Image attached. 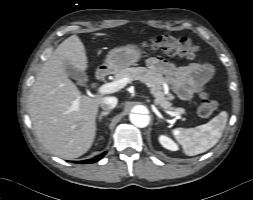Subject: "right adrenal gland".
Segmentation results:
<instances>
[{"instance_id":"2a0ac1e0","label":"right adrenal gland","mask_w":253,"mask_h":200,"mask_svg":"<svg viewBox=\"0 0 253 200\" xmlns=\"http://www.w3.org/2000/svg\"><path fill=\"white\" fill-rule=\"evenodd\" d=\"M109 113H110L109 110H107V111H102L101 114L98 116L99 122L102 120V118H103L104 116H107Z\"/></svg>"}]
</instances>
